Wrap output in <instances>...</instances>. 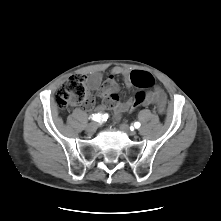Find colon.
<instances>
[{
    "instance_id": "obj_1",
    "label": "colon",
    "mask_w": 221,
    "mask_h": 221,
    "mask_svg": "<svg viewBox=\"0 0 221 221\" xmlns=\"http://www.w3.org/2000/svg\"><path fill=\"white\" fill-rule=\"evenodd\" d=\"M131 78L132 82L139 88H150L154 84L153 77L146 73L133 72ZM146 95L144 90H139L134 98L135 105H141ZM56 102L61 110L77 104H85L87 107L92 106L93 100L89 98L85 78L82 75L70 76L58 90Z\"/></svg>"
}]
</instances>
